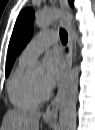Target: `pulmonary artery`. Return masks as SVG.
<instances>
[{
    "label": "pulmonary artery",
    "instance_id": "obj_1",
    "mask_svg": "<svg viewBox=\"0 0 95 130\" xmlns=\"http://www.w3.org/2000/svg\"><path fill=\"white\" fill-rule=\"evenodd\" d=\"M58 36L54 31L38 33L21 53L20 59L31 61L37 58L50 44L56 43Z\"/></svg>",
    "mask_w": 95,
    "mask_h": 130
}]
</instances>
